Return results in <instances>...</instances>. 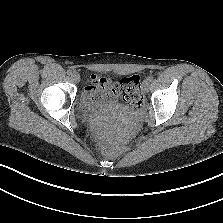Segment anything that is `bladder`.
Wrapping results in <instances>:
<instances>
[{
  "label": "bladder",
  "instance_id": "bladder-1",
  "mask_svg": "<svg viewBox=\"0 0 223 223\" xmlns=\"http://www.w3.org/2000/svg\"><path fill=\"white\" fill-rule=\"evenodd\" d=\"M79 105L86 110H122V105L100 97H92L89 93L83 92L79 97Z\"/></svg>",
  "mask_w": 223,
  "mask_h": 223
}]
</instances>
